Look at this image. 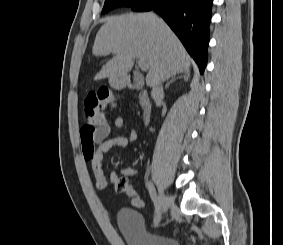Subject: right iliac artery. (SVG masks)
I'll return each mask as SVG.
<instances>
[{"mask_svg":"<svg viewBox=\"0 0 283 245\" xmlns=\"http://www.w3.org/2000/svg\"><path fill=\"white\" fill-rule=\"evenodd\" d=\"M147 188L149 191V194L151 196V199L154 203L155 206V217H154V223L156 222V219L160 220V207H161V202L159 197L156 194L155 188L151 182L147 183Z\"/></svg>","mask_w":283,"mask_h":245,"instance_id":"1","label":"right iliac artery"}]
</instances>
